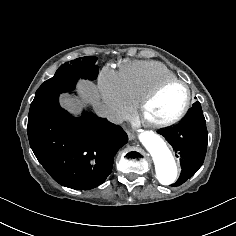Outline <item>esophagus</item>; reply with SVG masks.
I'll use <instances>...</instances> for the list:
<instances>
[{
  "label": "esophagus",
  "mask_w": 236,
  "mask_h": 236,
  "mask_svg": "<svg viewBox=\"0 0 236 236\" xmlns=\"http://www.w3.org/2000/svg\"><path fill=\"white\" fill-rule=\"evenodd\" d=\"M128 136H129L130 140H132V141L135 140V136L132 133L128 132Z\"/></svg>",
  "instance_id": "esophagus-1"
}]
</instances>
